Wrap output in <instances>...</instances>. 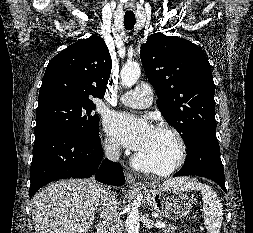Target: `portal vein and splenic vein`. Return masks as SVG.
I'll use <instances>...</instances> for the list:
<instances>
[{
	"label": "portal vein and splenic vein",
	"mask_w": 253,
	"mask_h": 233,
	"mask_svg": "<svg viewBox=\"0 0 253 233\" xmlns=\"http://www.w3.org/2000/svg\"><path fill=\"white\" fill-rule=\"evenodd\" d=\"M155 226L157 228H165V227H167V225L165 223H161V222L156 223Z\"/></svg>",
	"instance_id": "obj_1"
}]
</instances>
